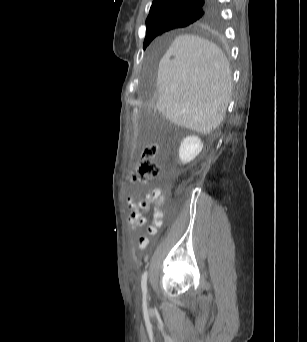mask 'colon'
I'll return each instance as SVG.
<instances>
[{"label": "colon", "instance_id": "5ec220e1", "mask_svg": "<svg viewBox=\"0 0 307 342\" xmlns=\"http://www.w3.org/2000/svg\"><path fill=\"white\" fill-rule=\"evenodd\" d=\"M157 155L158 146L155 143H148L142 148L140 159L131 176L134 183L145 184L158 176L160 167L155 160Z\"/></svg>", "mask_w": 307, "mask_h": 342}]
</instances>
